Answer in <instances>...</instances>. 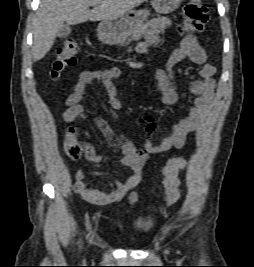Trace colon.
I'll list each match as a JSON object with an SVG mask.
<instances>
[{"label": "colon", "instance_id": "obj_1", "mask_svg": "<svg viewBox=\"0 0 254 267\" xmlns=\"http://www.w3.org/2000/svg\"><path fill=\"white\" fill-rule=\"evenodd\" d=\"M183 20L179 27L182 32H201L209 19L208 7L202 0H187L182 8ZM78 51V43L75 39H66L59 48L51 66L50 76L57 80L64 71L75 64V55ZM63 149L67 157L78 160L85 156L91 159L94 155L92 147L77 138L74 128L66 131ZM187 161L184 158H171L165 168V202L167 205L174 204L179 198V178L178 173L184 169Z\"/></svg>", "mask_w": 254, "mask_h": 267}]
</instances>
